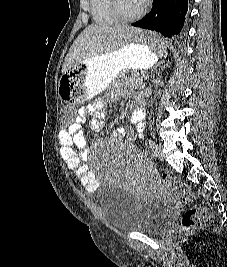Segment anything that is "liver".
I'll list each match as a JSON object with an SVG mask.
<instances>
[{"mask_svg":"<svg viewBox=\"0 0 227 267\" xmlns=\"http://www.w3.org/2000/svg\"><path fill=\"white\" fill-rule=\"evenodd\" d=\"M141 32L139 28L128 25H89L71 46L62 65V73L71 68V64L119 49L132 39L129 37L130 33Z\"/></svg>","mask_w":227,"mask_h":267,"instance_id":"6515ba94","label":"liver"}]
</instances>
